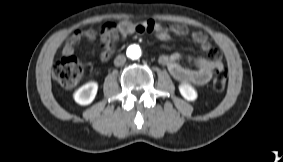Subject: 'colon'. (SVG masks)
I'll return each instance as SVG.
<instances>
[{"mask_svg": "<svg viewBox=\"0 0 283 162\" xmlns=\"http://www.w3.org/2000/svg\"><path fill=\"white\" fill-rule=\"evenodd\" d=\"M54 77L65 88L74 87L81 75L82 65L73 55L62 57L53 70ZM227 71L223 68L216 69L213 75L212 86L217 92H222L226 86Z\"/></svg>", "mask_w": 283, "mask_h": 162, "instance_id": "colon-1", "label": "colon"}]
</instances>
